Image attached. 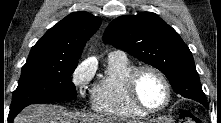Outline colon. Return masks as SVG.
Returning <instances> with one entry per match:
<instances>
[{
  "mask_svg": "<svg viewBox=\"0 0 221 123\" xmlns=\"http://www.w3.org/2000/svg\"><path fill=\"white\" fill-rule=\"evenodd\" d=\"M179 123H201V120L191 111L185 110L180 113Z\"/></svg>",
  "mask_w": 221,
  "mask_h": 123,
  "instance_id": "5ec220e1",
  "label": "colon"
}]
</instances>
